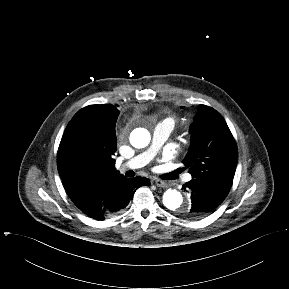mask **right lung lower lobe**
<instances>
[{
    "label": "right lung lower lobe",
    "instance_id": "98d812e1",
    "mask_svg": "<svg viewBox=\"0 0 289 289\" xmlns=\"http://www.w3.org/2000/svg\"><path fill=\"white\" fill-rule=\"evenodd\" d=\"M149 183V179L144 177L125 179L124 181L120 182L112 191L109 197V202L100 212L97 214L87 215L94 219L104 220L106 217L123 210L128 205L130 199L133 197L138 186L148 185Z\"/></svg>",
    "mask_w": 289,
    "mask_h": 289
}]
</instances>
